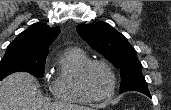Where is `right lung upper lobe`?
<instances>
[{
    "label": "right lung upper lobe",
    "instance_id": "1",
    "mask_svg": "<svg viewBox=\"0 0 171 110\" xmlns=\"http://www.w3.org/2000/svg\"><path fill=\"white\" fill-rule=\"evenodd\" d=\"M59 33L58 27L35 23L20 33L7 48H15L31 55H47L49 46Z\"/></svg>",
    "mask_w": 171,
    "mask_h": 110
}]
</instances>
